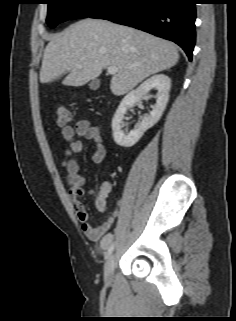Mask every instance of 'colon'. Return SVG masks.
<instances>
[{
  "label": "colon",
  "instance_id": "5ec220e1",
  "mask_svg": "<svg viewBox=\"0 0 236 321\" xmlns=\"http://www.w3.org/2000/svg\"><path fill=\"white\" fill-rule=\"evenodd\" d=\"M58 124L65 126L73 120V116L70 110L65 107H59L57 109Z\"/></svg>",
  "mask_w": 236,
  "mask_h": 321
}]
</instances>
